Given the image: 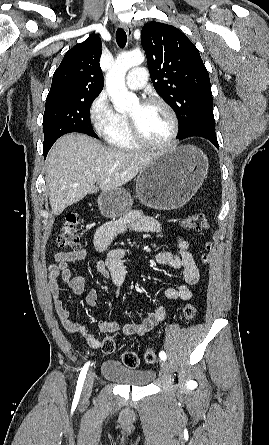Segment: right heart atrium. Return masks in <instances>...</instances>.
Wrapping results in <instances>:
<instances>
[{
	"label": "right heart atrium",
	"mask_w": 269,
	"mask_h": 445,
	"mask_svg": "<svg viewBox=\"0 0 269 445\" xmlns=\"http://www.w3.org/2000/svg\"><path fill=\"white\" fill-rule=\"evenodd\" d=\"M113 110L109 97L105 91L101 92L90 104L89 117L96 131L102 133L114 120Z\"/></svg>",
	"instance_id": "d8ad5b80"
}]
</instances>
